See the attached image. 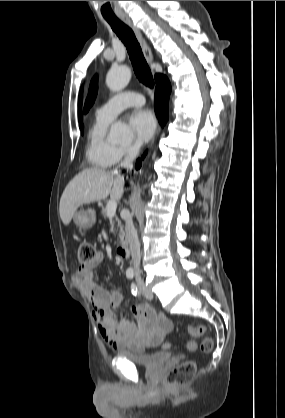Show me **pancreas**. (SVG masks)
<instances>
[{"label": "pancreas", "instance_id": "obj_1", "mask_svg": "<svg viewBox=\"0 0 285 418\" xmlns=\"http://www.w3.org/2000/svg\"><path fill=\"white\" fill-rule=\"evenodd\" d=\"M102 215L104 216V217H107V211H106V209L105 208H103L102 209ZM114 217V216H113ZM111 218V220H110V232H112V233H114L115 232V230H116V227H115V220H114V218ZM119 229V238H120V242L122 243L123 242V235H122V224H121V222L120 221H118V225H117V230Z\"/></svg>", "mask_w": 285, "mask_h": 418}]
</instances>
